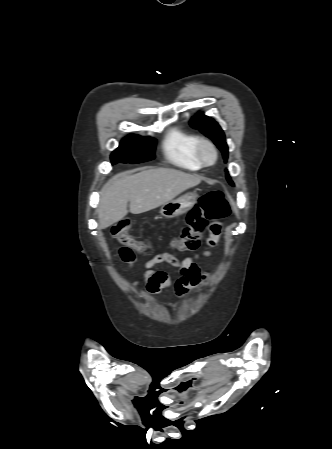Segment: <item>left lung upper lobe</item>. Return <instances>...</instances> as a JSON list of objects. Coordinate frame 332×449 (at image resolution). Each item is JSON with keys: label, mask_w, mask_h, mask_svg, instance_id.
<instances>
[{"label": "left lung upper lobe", "mask_w": 332, "mask_h": 449, "mask_svg": "<svg viewBox=\"0 0 332 449\" xmlns=\"http://www.w3.org/2000/svg\"><path fill=\"white\" fill-rule=\"evenodd\" d=\"M190 124L193 128L199 129L205 136L212 139L217 147L222 151L224 159L227 160L228 146L225 140V135L217 122L205 115L198 113L193 117ZM226 177L228 182L232 186H234V183L228 173L226 174Z\"/></svg>", "instance_id": "5c2ea615"}]
</instances>
